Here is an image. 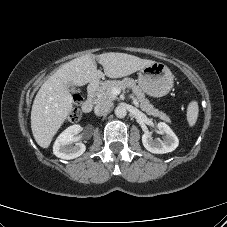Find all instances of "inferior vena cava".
I'll use <instances>...</instances> for the list:
<instances>
[{
  "instance_id": "obj_1",
  "label": "inferior vena cava",
  "mask_w": 227,
  "mask_h": 227,
  "mask_svg": "<svg viewBox=\"0 0 227 227\" xmlns=\"http://www.w3.org/2000/svg\"><path fill=\"white\" fill-rule=\"evenodd\" d=\"M113 106V103L108 100L100 101L94 108V113L97 116L105 115Z\"/></svg>"
}]
</instances>
